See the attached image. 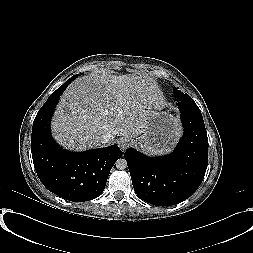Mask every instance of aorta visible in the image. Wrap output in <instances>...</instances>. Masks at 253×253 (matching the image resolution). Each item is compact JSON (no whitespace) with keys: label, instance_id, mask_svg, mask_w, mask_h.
I'll use <instances>...</instances> for the list:
<instances>
[{"label":"aorta","instance_id":"762f6f07","mask_svg":"<svg viewBox=\"0 0 253 253\" xmlns=\"http://www.w3.org/2000/svg\"><path fill=\"white\" fill-rule=\"evenodd\" d=\"M117 169L123 170L127 167V161L124 158H119L115 163Z\"/></svg>","mask_w":253,"mask_h":253}]
</instances>
